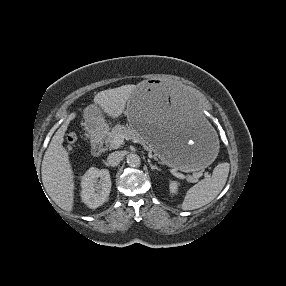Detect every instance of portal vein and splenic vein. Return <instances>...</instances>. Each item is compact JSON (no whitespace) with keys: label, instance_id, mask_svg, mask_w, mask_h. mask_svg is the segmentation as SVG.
Masks as SVG:
<instances>
[{"label":"portal vein and splenic vein","instance_id":"obj_1","mask_svg":"<svg viewBox=\"0 0 286 286\" xmlns=\"http://www.w3.org/2000/svg\"><path fill=\"white\" fill-rule=\"evenodd\" d=\"M124 139H127V140H128V138L125 137V136H123V135H116V136L114 137L113 142H114V144H115L116 146L119 147V146H121V145L123 144ZM172 173H173L174 175H176L177 177H179L180 179H185V178H186V176H185L184 174H182V173H179V172H176V171H172ZM200 175H201V174H200ZM200 175H197V176L195 177V179H197V177H199ZM204 176H205V177H209V175H208L207 172L204 173ZM187 179H189V178L187 177Z\"/></svg>","mask_w":286,"mask_h":286}]
</instances>
